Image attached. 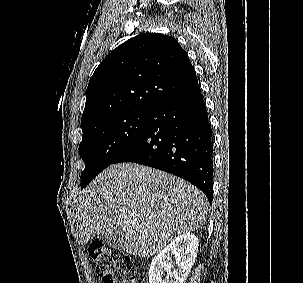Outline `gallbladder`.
<instances>
[{"label": "gallbladder", "mask_w": 303, "mask_h": 283, "mask_svg": "<svg viewBox=\"0 0 303 283\" xmlns=\"http://www.w3.org/2000/svg\"><path fill=\"white\" fill-rule=\"evenodd\" d=\"M102 241L113 248L119 247V239L116 234L104 236L102 237Z\"/></svg>", "instance_id": "1"}]
</instances>
